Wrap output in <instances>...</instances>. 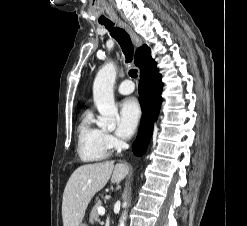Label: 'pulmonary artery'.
Returning a JSON list of instances; mask_svg holds the SVG:
<instances>
[{"mask_svg": "<svg viewBox=\"0 0 247 226\" xmlns=\"http://www.w3.org/2000/svg\"><path fill=\"white\" fill-rule=\"evenodd\" d=\"M135 89L134 83L131 80H124L118 86V93L121 95H128Z\"/></svg>", "mask_w": 247, "mask_h": 226, "instance_id": "pulmonary-artery-1", "label": "pulmonary artery"}]
</instances>
